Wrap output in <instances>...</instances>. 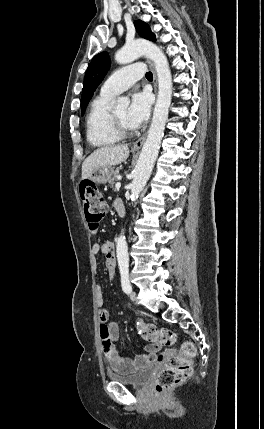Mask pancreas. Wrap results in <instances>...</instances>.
I'll return each instance as SVG.
<instances>
[{
  "instance_id": "cf45deb5",
  "label": "pancreas",
  "mask_w": 264,
  "mask_h": 429,
  "mask_svg": "<svg viewBox=\"0 0 264 429\" xmlns=\"http://www.w3.org/2000/svg\"><path fill=\"white\" fill-rule=\"evenodd\" d=\"M118 174H119V171L118 170H116L115 172H114V174H113V176L110 178V180L108 181L109 182V184H110V186L113 188V186H114V184H115V182L117 181V176H118ZM116 190V189H115Z\"/></svg>"
}]
</instances>
